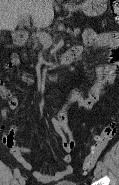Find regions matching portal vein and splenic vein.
I'll use <instances>...</instances> for the list:
<instances>
[{
	"mask_svg": "<svg viewBox=\"0 0 119 185\" xmlns=\"http://www.w3.org/2000/svg\"><path fill=\"white\" fill-rule=\"evenodd\" d=\"M23 18H24L26 24H28L29 15L25 14L23 16ZM37 34H38V37L40 38V40L44 46L49 47L52 45V39L48 34H46L44 32H38Z\"/></svg>",
	"mask_w": 119,
	"mask_h": 185,
	"instance_id": "1",
	"label": "portal vein and splenic vein"
}]
</instances>
